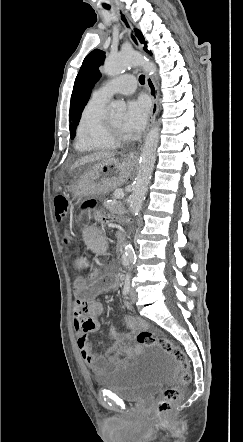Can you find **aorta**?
Instances as JSON below:
<instances>
[{"instance_id": "762f6f07", "label": "aorta", "mask_w": 243, "mask_h": 442, "mask_svg": "<svg viewBox=\"0 0 243 442\" xmlns=\"http://www.w3.org/2000/svg\"><path fill=\"white\" fill-rule=\"evenodd\" d=\"M141 66L151 74L156 72L154 63L147 60L134 51L120 53L106 58L103 66L104 73L108 76H117L129 68ZM111 112L125 110V103L113 101L109 107ZM159 143V128L155 125L146 136L144 146L141 150L139 169L133 185V191L130 196V211L138 215L144 202L148 184L150 182L152 170L156 159V151ZM124 263L132 264L136 258L135 252L130 244L125 245L121 252Z\"/></svg>"}]
</instances>
